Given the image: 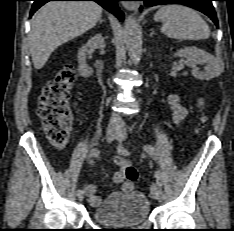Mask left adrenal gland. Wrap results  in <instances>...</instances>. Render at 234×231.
I'll return each instance as SVG.
<instances>
[{"label":"left adrenal gland","mask_w":234,"mask_h":231,"mask_svg":"<svg viewBox=\"0 0 234 231\" xmlns=\"http://www.w3.org/2000/svg\"><path fill=\"white\" fill-rule=\"evenodd\" d=\"M153 35H156V33L154 32V30H153V29H151L150 36H153Z\"/></svg>","instance_id":"obj_1"}]
</instances>
